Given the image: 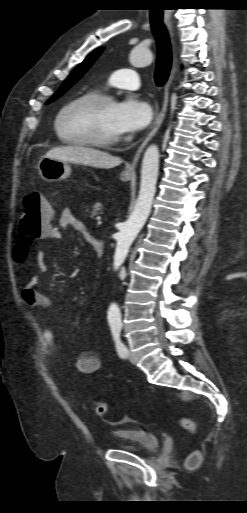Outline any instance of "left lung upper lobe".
I'll return each instance as SVG.
<instances>
[{"instance_id": "1", "label": "left lung upper lobe", "mask_w": 247, "mask_h": 513, "mask_svg": "<svg viewBox=\"0 0 247 513\" xmlns=\"http://www.w3.org/2000/svg\"><path fill=\"white\" fill-rule=\"evenodd\" d=\"M104 50V47L98 48L94 52H92L79 66H77L70 76L65 80L59 90L52 96V98L47 102L51 103L61 95H63L77 80H79L83 74L91 67V65L95 62V60L99 57V55Z\"/></svg>"}]
</instances>
